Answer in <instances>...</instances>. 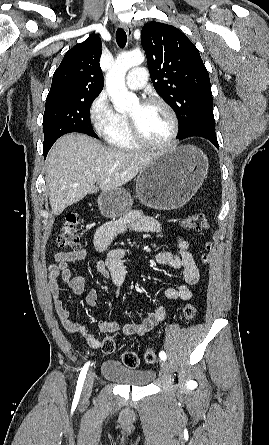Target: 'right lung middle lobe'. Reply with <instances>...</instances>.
<instances>
[{"label": "right lung middle lobe", "mask_w": 269, "mask_h": 445, "mask_svg": "<svg viewBox=\"0 0 269 445\" xmlns=\"http://www.w3.org/2000/svg\"><path fill=\"white\" fill-rule=\"evenodd\" d=\"M98 95L47 96L43 116L44 156L53 143L66 133L81 132L98 138L89 119V108Z\"/></svg>", "instance_id": "right-lung-middle-lobe-1"}]
</instances>
